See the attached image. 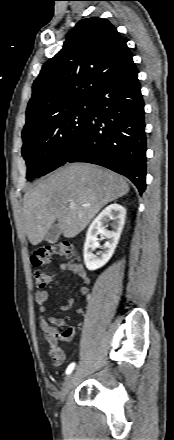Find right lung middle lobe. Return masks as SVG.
Instances as JSON below:
<instances>
[{"mask_svg":"<svg viewBox=\"0 0 174 440\" xmlns=\"http://www.w3.org/2000/svg\"><path fill=\"white\" fill-rule=\"evenodd\" d=\"M90 112L91 100L84 99L22 132L28 180L65 163L87 127Z\"/></svg>","mask_w":174,"mask_h":440,"instance_id":"right-lung-middle-lobe-1","label":"right lung middle lobe"}]
</instances>
